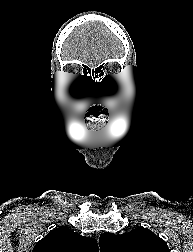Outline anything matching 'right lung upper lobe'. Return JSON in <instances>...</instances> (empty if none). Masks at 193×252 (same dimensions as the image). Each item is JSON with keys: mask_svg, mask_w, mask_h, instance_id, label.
Returning a JSON list of instances; mask_svg holds the SVG:
<instances>
[{"mask_svg": "<svg viewBox=\"0 0 193 252\" xmlns=\"http://www.w3.org/2000/svg\"><path fill=\"white\" fill-rule=\"evenodd\" d=\"M32 252H99V248L94 238L81 236L62 226L38 241Z\"/></svg>", "mask_w": 193, "mask_h": 252, "instance_id": "cb5924a9", "label": "right lung upper lobe"}]
</instances>
